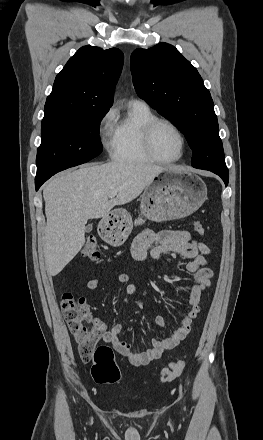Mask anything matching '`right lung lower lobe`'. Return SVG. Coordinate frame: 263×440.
<instances>
[{
    "mask_svg": "<svg viewBox=\"0 0 263 440\" xmlns=\"http://www.w3.org/2000/svg\"><path fill=\"white\" fill-rule=\"evenodd\" d=\"M89 160H91V159H86L85 161H84V163L85 162H87V161H89ZM51 176H47V177H43V178H38V179H35V187H36V190H38L39 188H40V186L47 180V179H49Z\"/></svg>",
    "mask_w": 263,
    "mask_h": 440,
    "instance_id": "98d812e1",
    "label": "right lung lower lobe"
}]
</instances>
